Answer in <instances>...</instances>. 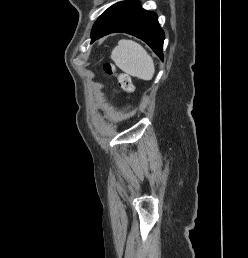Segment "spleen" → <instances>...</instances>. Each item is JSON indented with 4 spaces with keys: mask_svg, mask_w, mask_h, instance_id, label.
Returning <instances> with one entry per match:
<instances>
[{
    "mask_svg": "<svg viewBox=\"0 0 248 258\" xmlns=\"http://www.w3.org/2000/svg\"><path fill=\"white\" fill-rule=\"evenodd\" d=\"M111 59L125 73L149 81L155 73L152 57L139 43L122 39L111 53Z\"/></svg>",
    "mask_w": 248,
    "mask_h": 258,
    "instance_id": "1",
    "label": "spleen"
}]
</instances>
